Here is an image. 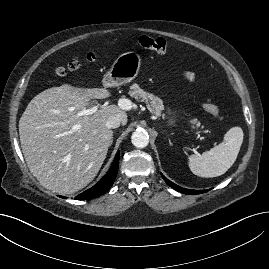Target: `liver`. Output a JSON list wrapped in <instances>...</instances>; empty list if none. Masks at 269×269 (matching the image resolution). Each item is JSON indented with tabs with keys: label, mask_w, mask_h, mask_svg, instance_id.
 I'll use <instances>...</instances> for the list:
<instances>
[{
	"label": "liver",
	"mask_w": 269,
	"mask_h": 269,
	"mask_svg": "<svg viewBox=\"0 0 269 269\" xmlns=\"http://www.w3.org/2000/svg\"><path fill=\"white\" fill-rule=\"evenodd\" d=\"M106 88H79L68 84L36 95L19 121L21 148L31 173L42 186L72 194L87 186L99 172L112 142L106 123L127 114L117 105L92 115L78 116L91 99H104Z\"/></svg>",
	"instance_id": "obj_1"
}]
</instances>
